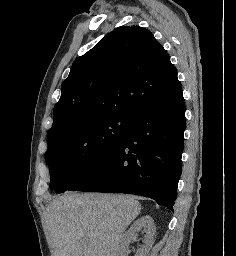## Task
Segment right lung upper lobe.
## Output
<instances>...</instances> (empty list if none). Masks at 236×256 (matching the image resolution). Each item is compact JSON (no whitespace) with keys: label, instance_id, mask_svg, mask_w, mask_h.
<instances>
[{"label":"right lung upper lobe","instance_id":"cb5924a9","mask_svg":"<svg viewBox=\"0 0 236 256\" xmlns=\"http://www.w3.org/2000/svg\"><path fill=\"white\" fill-rule=\"evenodd\" d=\"M180 86L168 53L150 31L118 27L73 63L49 135L96 119H136Z\"/></svg>","mask_w":236,"mask_h":256}]
</instances>
